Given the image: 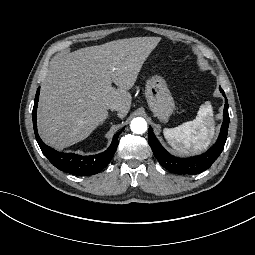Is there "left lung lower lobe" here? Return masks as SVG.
Instances as JSON below:
<instances>
[{
	"mask_svg": "<svg viewBox=\"0 0 255 255\" xmlns=\"http://www.w3.org/2000/svg\"><path fill=\"white\" fill-rule=\"evenodd\" d=\"M220 91L225 97V106H224V120L221 127L220 135L217 142L213 145L207 152L202 155L190 157L186 159H180L169 154L159 143L155 137L152 128L149 127L148 130V142L152 148V151L159 161V163L175 174H199L204 170L208 169L213 162L218 158L222 152L226 139L229 126V115H228V102L225 96L224 91L220 88Z\"/></svg>",
	"mask_w": 255,
	"mask_h": 255,
	"instance_id": "1",
	"label": "left lung lower lobe"
}]
</instances>
